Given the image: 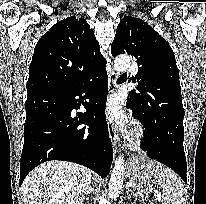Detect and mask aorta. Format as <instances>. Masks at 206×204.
<instances>
[{"instance_id":"762f6f07","label":"aorta","mask_w":206,"mask_h":204,"mask_svg":"<svg viewBox=\"0 0 206 204\" xmlns=\"http://www.w3.org/2000/svg\"><path fill=\"white\" fill-rule=\"evenodd\" d=\"M130 65V58L127 55L117 56L114 60V69L117 72L125 71ZM124 180V158L119 155L114 162L111 171L110 181L108 184L109 198L115 199L118 197L123 185Z\"/></svg>"}]
</instances>
